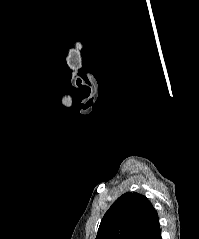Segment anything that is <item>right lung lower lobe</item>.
<instances>
[{"instance_id": "1", "label": "right lung lower lobe", "mask_w": 199, "mask_h": 239, "mask_svg": "<svg viewBox=\"0 0 199 239\" xmlns=\"http://www.w3.org/2000/svg\"><path fill=\"white\" fill-rule=\"evenodd\" d=\"M142 239H162L159 222Z\"/></svg>"}]
</instances>
